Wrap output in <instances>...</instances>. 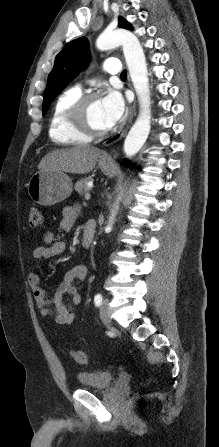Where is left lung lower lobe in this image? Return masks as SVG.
Returning <instances> with one entry per match:
<instances>
[{
  "label": "left lung lower lobe",
  "instance_id": "obj_1",
  "mask_svg": "<svg viewBox=\"0 0 219 447\" xmlns=\"http://www.w3.org/2000/svg\"><path fill=\"white\" fill-rule=\"evenodd\" d=\"M122 163H123L124 165H126V166L128 165V163H127L126 160H123Z\"/></svg>",
  "mask_w": 219,
  "mask_h": 447
}]
</instances>
